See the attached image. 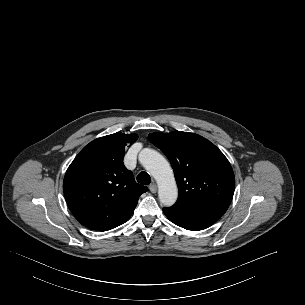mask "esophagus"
<instances>
[{
	"instance_id": "obj_1",
	"label": "esophagus",
	"mask_w": 305,
	"mask_h": 305,
	"mask_svg": "<svg viewBox=\"0 0 305 305\" xmlns=\"http://www.w3.org/2000/svg\"><path fill=\"white\" fill-rule=\"evenodd\" d=\"M149 189L152 193H156L157 191V186H156V183H152L150 186H149Z\"/></svg>"
}]
</instances>
